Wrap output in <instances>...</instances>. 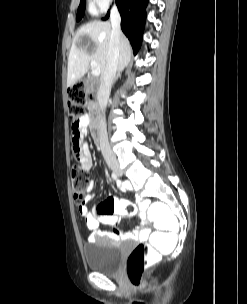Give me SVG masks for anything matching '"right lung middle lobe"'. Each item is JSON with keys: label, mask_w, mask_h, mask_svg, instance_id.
Returning a JSON list of instances; mask_svg holds the SVG:
<instances>
[{"label": "right lung middle lobe", "mask_w": 247, "mask_h": 304, "mask_svg": "<svg viewBox=\"0 0 247 304\" xmlns=\"http://www.w3.org/2000/svg\"><path fill=\"white\" fill-rule=\"evenodd\" d=\"M85 12V0H80V5L78 7L76 21H79L83 16Z\"/></svg>", "instance_id": "obj_1"}]
</instances>
